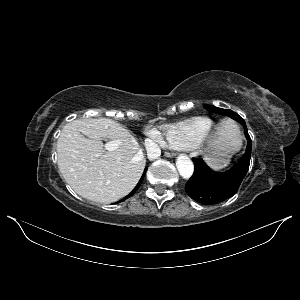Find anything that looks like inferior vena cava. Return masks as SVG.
Instances as JSON below:
<instances>
[{"mask_svg":"<svg viewBox=\"0 0 300 300\" xmlns=\"http://www.w3.org/2000/svg\"><path fill=\"white\" fill-rule=\"evenodd\" d=\"M146 150L150 159H156L161 154L159 146L155 143H147Z\"/></svg>","mask_w":300,"mask_h":300,"instance_id":"inferior-vena-cava-1","label":"inferior vena cava"}]
</instances>
